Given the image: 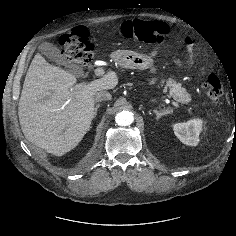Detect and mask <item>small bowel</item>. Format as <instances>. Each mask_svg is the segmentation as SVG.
I'll list each match as a JSON object with an SVG mask.
<instances>
[{"label": "small bowel", "instance_id": "c3829d8e", "mask_svg": "<svg viewBox=\"0 0 236 236\" xmlns=\"http://www.w3.org/2000/svg\"><path fill=\"white\" fill-rule=\"evenodd\" d=\"M182 42H184L188 48V54H189V60H188V63L190 66L193 65L194 63V51H193V47H194V41L192 39L191 36H185L183 37V39L181 40ZM179 41V42H181ZM157 55V50L156 49H153L151 52H150V56L151 57H155ZM176 64L177 65H181L180 61L179 60H175Z\"/></svg>", "mask_w": 236, "mask_h": 236}]
</instances>
